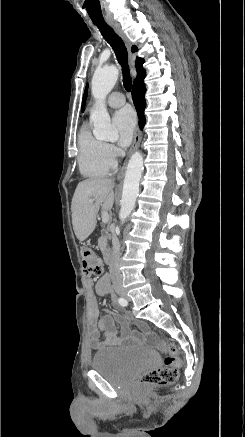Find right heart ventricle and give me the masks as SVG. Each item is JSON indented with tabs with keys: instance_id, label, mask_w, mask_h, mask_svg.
<instances>
[{
	"instance_id": "e07e8e85",
	"label": "right heart ventricle",
	"mask_w": 245,
	"mask_h": 437,
	"mask_svg": "<svg viewBox=\"0 0 245 437\" xmlns=\"http://www.w3.org/2000/svg\"><path fill=\"white\" fill-rule=\"evenodd\" d=\"M105 145L92 135L87 123L82 125L78 134V165L82 175L103 178L112 172L114 166L106 158Z\"/></svg>"
}]
</instances>
